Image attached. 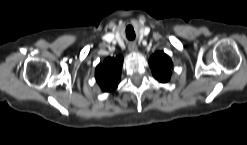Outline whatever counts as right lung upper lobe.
<instances>
[{"label":"right lung upper lobe","instance_id":"cb5924a9","mask_svg":"<svg viewBox=\"0 0 247 145\" xmlns=\"http://www.w3.org/2000/svg\"><path fill=\"white\" fill-rule=\"evenodd\" d=\"M123 57H108L105 61L99 64L95 70L97 83L104 92L114 91L121 78Z\"/></svg>","mask_w":247,"mask_h":145}]
</instances>
